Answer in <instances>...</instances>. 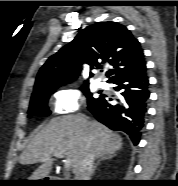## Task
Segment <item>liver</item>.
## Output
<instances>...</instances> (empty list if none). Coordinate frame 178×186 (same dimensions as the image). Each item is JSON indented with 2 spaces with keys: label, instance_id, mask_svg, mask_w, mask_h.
<instances>
[{
  "label": "liver",
  "instance_id": "6515ba94",
  "mask_svg": "<svg viewBox=\"0 0 178 186\" xmlns=\"http://www.w3.org/2000/svg\"><path fill=\"white\" fill-rule=\"evenodd\" d=\"M122 138L97 121L76 114L51 119L29 142L20 156L22 165L41 162L30 180H39L49 175L54 160L52 154L60 152L66 155L77 173L88 153L93 151L96 157H102L120 150Z\"/></svg>",
  "mask_w": 178,
  "mask_h": 186
}]
</instances>
